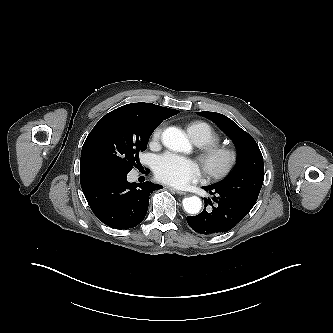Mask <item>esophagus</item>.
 Masks as SVG:
<instances>
[{"instance_id": "esophagus-1", "label": "esophagus", "mask_w": 333, "mask_h": 333, "mask_svg": "<svg viewBox=\"0 0 333 333\" xmlns=\"http://www.w3.org/2000/svg\"><path fill=\"white\" fill-rule=\"evenodd\" d=\"M170 191H172V192H174V193H176V194H179V195H185L186 194V192H184V191H180V190H177V189H175V188H173V187H170V186H168L167 187Z\"/></svg>"}]
</instances>
